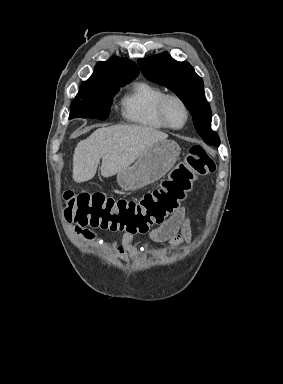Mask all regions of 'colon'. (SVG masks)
<instances>
[{
  "label": "colon",
  "mask_w": 283,
  "mask_h": 384,
  "mask_svg": "<svg viewBox=\"0 0 283 384\" xmlns=\"http://www.w3.org/2000/svg\"><path fill=\"white\" fill-rule=\"evenodd\" d=\"M215 169V162L207 150L194 145L169 177L140 199H115L102 193L65 192V218L80 227L90 226L133 235L146 233L179 209L198 178L213 173Z\"/></svg>",
  "instance_id": "5ec220e1"
}]
</instances>
